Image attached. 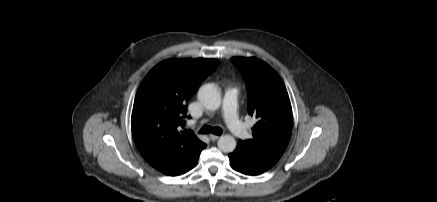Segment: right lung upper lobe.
<instances>
[{"label":"right lung upper lobe","mask_w":437,"mask_h":202,"mask_svg":"<svg viewBox=\"0 0 437 202\" xmlns=\"http://www.w3.org/2000/svg\"><path fill=\"white\" fill-rule=\"evenodd\" d=\"M219 65L215 59H168L150 70L133 105L131 127L144 159L169 175L205 145L185 124L187 103Z\"/></svg>","instance_id":"cb5924a9"}]
</instances>
